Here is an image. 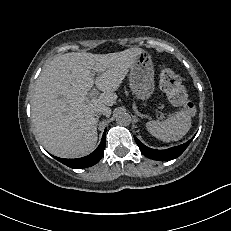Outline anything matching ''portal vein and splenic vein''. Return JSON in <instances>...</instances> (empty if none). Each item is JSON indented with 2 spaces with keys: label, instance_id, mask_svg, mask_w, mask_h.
<instances>
[{
  "label": "portal vein and splenic vein",
  "instance_id": "18ae733b",
  "mask_svg": "<svg viewBox=\"0 0 231 231\" xmlns=\"http://www.w3.org/2000/svg\"><path fill=\"white\" fill-rule=\"evenodd\" d=\"M92 75H94V73H92ZM99 94V92L96 90V89H93L90 93H89V96L91 98H95L97 95ZM164 118L163 115H161V119Z\"/></svg>",
  "mask_w": 231,
  "mask_h": 231
}]
</instances>
